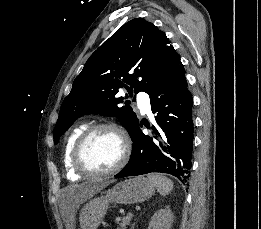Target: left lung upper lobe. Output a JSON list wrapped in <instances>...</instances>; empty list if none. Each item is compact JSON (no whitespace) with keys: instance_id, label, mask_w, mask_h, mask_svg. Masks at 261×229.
Segmentation results:
<instances>
[{"instance_id":"5c2ea615","label":"left lung upper lobe","mask_w":261,"mask_h":229,"mask_svg":"<svg viewBox=\"0 0 261 229\" xmlns=\"http://www.w3.org/2000/svg\"><path fill=\"white\" fill-rule=\"evenodd\" d=\"M179 64V54L156 26L142 18L127 22L89 57L75 78L60 108L54 143L78 117L90 113L116 116L132 136L139 120L130 106H117L124 102L118 89L125 87L130 95L149 93Z\"/></svg>"}]
</instances>
